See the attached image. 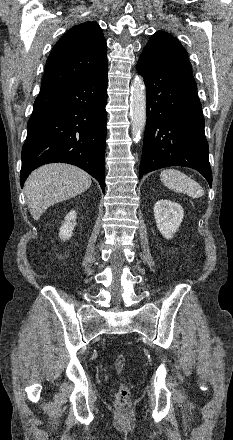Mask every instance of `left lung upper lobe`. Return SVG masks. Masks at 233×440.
Masks as SVG:
<instances>
[{
  "mask_svg": "<svg viewBox=\"0 0 233 440\" xmlns=\"http://www.w3.org/2000/svg\"><path fill=\"white\" fill-rule=\"evenodd\" d=\"M141 55L159 62L163 66L192 73L186 50L175 37L166 32H156L148 41Z\"/></svg>",
  "mask_w": 233,
  "mask_h": 440,
  "instance_id": "5c2ea615",
  "label": "left lung upper lobe"
}]
</instances>
